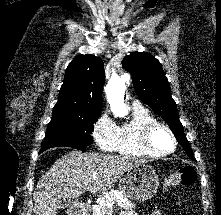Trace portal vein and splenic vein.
Instances as JSON below:
<instances>
[{"label": "portal vein and splenic vein", "mask_w": 221, "mask_h": 215, "mask_svg": "<svg viewBox=\"0 0 221 215\" xmlns=\"http://www.w3.org/2000/svg\"><path fill=\"white\" fill-rule=\"evenodd\" d=\"M114 203H115L114 201H112V202H110V203H107V206H108V207H112Z\"/></svg>", "instance_id": "obj_1"}]
</instances>
